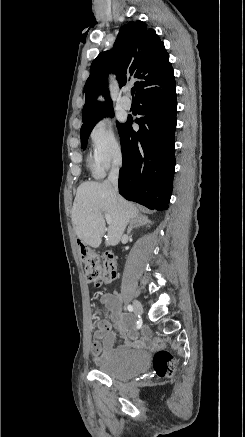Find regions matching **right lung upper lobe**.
<instances>
[{"mask_svg": "<svg viewBox=\"0 0 245 437\" xmlns=\"http://www.w3.org/2000/svg\"><path fill=\"white\" fill-rule=\"evenodd\" d=\"M113 72L120 86L137 79L136 98L143 93L161 89L175 82L163 41L140 20L129 22L120 29L113 49L100 53L92 62L90 76L84 86L85 104L82 122L87 125L112 109L108 89V73ZM102 94L105 107H98L96 98Z\"/></svg>", "mask_w": 245, "mask_h": 437, "instance_id": "obj_1", "label": "right lung upper lobe"}]
</instances>
